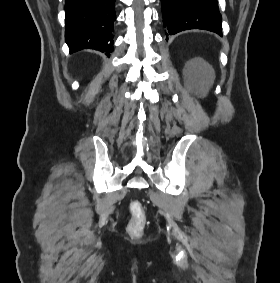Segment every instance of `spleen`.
Masks as SVG:
<instances>
[{"mask_svg": "<svg viewBox=\"0 0 280 283\" xmlns=\"http://www.w3.org/2000/svg\"><path fill=\"white\" fill-rule=\"evenodd\" d=\"M204 81L206 82L207 87H209L214 81V70L211 67L207 68V71L204 75Z\"/></svg>", "mask_w": 280, "mask_h": 283, "instance_id": "1", "label": "spleen"}]
</instances>
